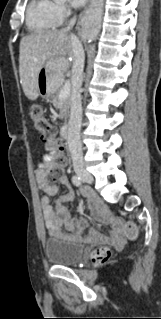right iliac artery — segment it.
<instances>
[{
    "instance_id": "1",
    "label": "right iliac artery",
    "mask_w": 161,
    "mask_h": 319,
    "mask_svg": "<svg viewBox=\"0 0 161 319\" xmlns=\"http://www.w3.org/2000/svg\"><path fill=\"white\" fill-rule=\"evenodd\" d=\"M72 182L77 187L81 186V184H82L80 177H78L76 175L72 176Z\"/></svg>"
}]
</instances>
